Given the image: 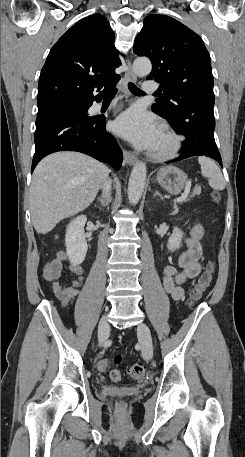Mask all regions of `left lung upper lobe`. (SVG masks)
Wrapping results in <instances>:
<instances>
[{"label": "left lung upper lobe", "mask_w": 245, "mask_h": 457, "mask_svg": "<svg viewBox=\"0 0 245 457\" xmlns=\"http://www.w3.org/2000/svg\"><path fill=\"white\" fill-rule=\"evenodd\" d=\"M133 52L147 56L152 72L146 78L164 90L153 110L173 121L187 114L212 111L213 75L209 53L202 39L167 15L151 14L135 39Z\"/></svg>", "instance_id": "1"}]
</instances>
